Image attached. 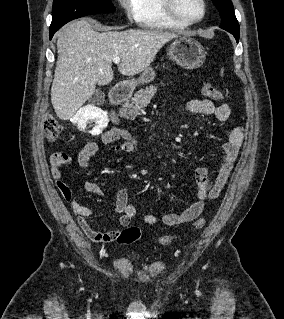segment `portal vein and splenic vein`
Here are the masks:
<instances>
[{
  "label": "portal vein and splenic vein",
  "mask_w": 284,
  "mask_h": 319,
  "mask_svg": "<svg viewBox=\"0 0 284 319\" xmlns=\"http://www.w3.org/2000/svg\"><path fill=\"white\" fill-rule=\"evenodd\" d=\"M112 61H113L114 63H116V64H119L120 61H121V59H120L119 57H115V58L112 59Z\"/></svg>",
  "instance_id": "portal-vein-and-splenic-vein-1"
}]
</instances>
